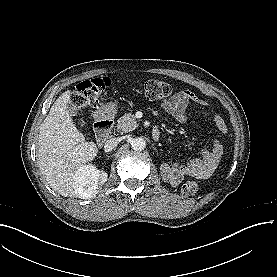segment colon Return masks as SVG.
I'll return each instance as SVG.
<instances>
[{"label":"colon","mask_w":277,"mask_h":277,"mask_svg":"<svg viewBox=\"0 0 277 277\" xmlns=\"http://www.w3.org/2000/svg\"><path fill=\"white\" fill-rule=\"evenodd\" d=\"M111 87V81L108 78H99L83 81L76 86L71 95V104L76 109L85 107H96L103 93ZM174 88L163 81L148 80L144 84V93L151 100H162L170 96ZM197 185L194 180L186 181L181 188L183 195L191 196L195 194Z\"/></svg>","instance_id":"5ec220e1"}]
</instances>
